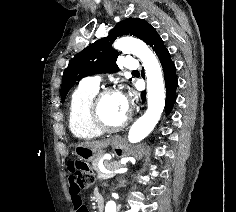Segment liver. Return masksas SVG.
<instances>
[{"mask_svg": "<svg viewBox=\"0 0 236 212\" xmlns=\"http://www.w3.org/2000/svg\"><path fill=\"white\" fill-rule=\"evenodd\" d=\"M111 140H98V141H85L77 144V146H85L92 149L95 152H101L103 149L107 148Z\"/></svg>", "mask_w": 236, "mask_h": 212, "instance_id": "1", "label": "liver"}]
</instances>
